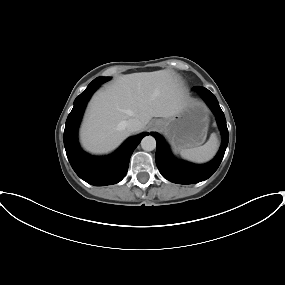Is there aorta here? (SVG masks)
Instances as JSON below:
<instances>
[{"mask_svg": "<svg viewBox=\"0 0 285 285\" xmlns=\"http://www.w3.org/2000/svg\"><path fill=\"white\" fill-rule=\"evenodd\" d=\"M141 147L145 151H152L156 148V140L153 136L149 135L142 139Z\"/></svg>", "mask_w": 285, "mask_h": 285, "instance_id": "obj_1", "label": "aorta"}]
</instances>
